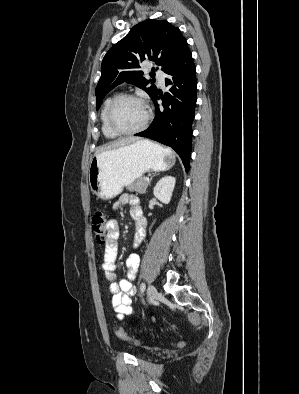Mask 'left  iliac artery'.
Returning <instances> with one entry per match:
<instances>
[{
	"instance_id": "1",
	"label": "left iliac artery",
	"mask_w": 299,
	"mask_h": 394,
	"mask_svg": "<svg viewBox=\"0 0 299 394\" xmlns=\"http://www.w3.org/2000/svg\"><path fill=\"white\" fill-rule=\"evenodd\" d=\"M145 287H146V286H145V283H142V284H141V286H140V290H141V292H144V290H145Z\"/></svg>"
}]
</instances>
